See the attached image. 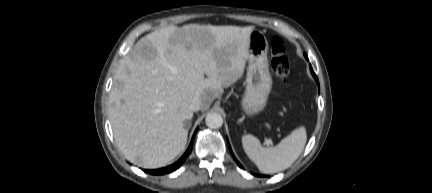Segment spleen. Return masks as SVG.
I'll list each match as a JSON object with an SVG mask.
<instances>
[{
    "mask_svg": "<svg viewBox=\"0 0 432 193\" xmlns=\"http://www.w3.org/2000/svg\"><path fill=\"white\" fill-rule=\"evenodd\" d=\"M307 141L304 127L295 129L275 147H262L253 135L242 137V145L249 159L265 174H273L290 167L302 153Z\"/></svg>",
    "mask_w": 432,
    "mask_h": 193,
    "instance_id": "spleen-1",
    "label": "spleen"
}]
</instances>
